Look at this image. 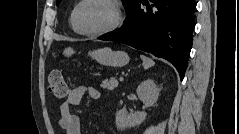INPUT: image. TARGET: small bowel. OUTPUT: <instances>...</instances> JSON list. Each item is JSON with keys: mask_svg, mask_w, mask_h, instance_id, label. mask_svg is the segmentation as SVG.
<instances>
[{"mask_svg": "<svg viewBox=\"0 0 239 134\" xmlns=\"http://www.w3.org/2000/svg\"><path fill=\"white\" fill-rule=\"evenodd\" d=\"M84 97L97 100L100 98V92L95 87L81 85L76 87L60 105L59 125L65 134H81L80 119L72 112V107L79 105Z\"/></svg>", "mask_w": 239, "mask_h": 134, "instance_id": "obj_1", "label": "small bowel"}]
</instances>
